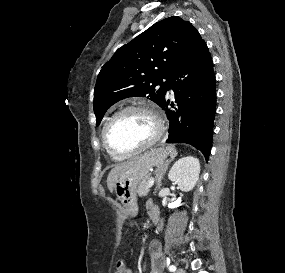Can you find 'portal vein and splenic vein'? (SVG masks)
Here are the masks:
<instances>
[{
    "mask_svg": "<svg viewBox=\"0 0 285 273\" xmlns=\"http://www.w3.org/2000/svg\"><path fill=\"white\" fill-rule=\"evenodd\" d=\"M154 184V178H151L150 181H149V188H151Z\"/></svg>",
    "mask_w": 285,
    "mask_h": 273,
    "instance_id": "18ae733b",
    "label": "portal vein and splenic vein"
}]
</instances>
